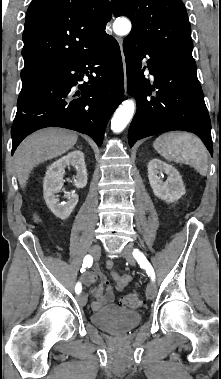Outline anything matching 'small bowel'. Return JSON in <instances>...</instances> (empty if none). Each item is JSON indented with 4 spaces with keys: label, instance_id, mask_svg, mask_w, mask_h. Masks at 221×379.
I'll return each mask as SVG.
<instances>
[{
    "label": "small bowel",
    "instance_id": "1",
    "mask_svg": "<svg viewBox=\"0 0 221 379\" xmlns=\"http://www.w3.org/2000/svg\"><path fill=\"white\" fill-rule=\"evenodd\" d=\"M106 268L111 270L113 268V262L107 261ZM111 276L115 281V288L117 291H123L132 279L130 275L119 274L114 271L111 272ZM81 280L87 286L95 282L97 283L92 291L94 297V301L92 303L93 309L97 310L103 305L113 301L114 293L112 287L104 274L101 273L96 267L93 268L92 272H84L81 276Z\"/></svg>",
    "mask_w": 221,
    "mask_h": 379
}]
</instances>
